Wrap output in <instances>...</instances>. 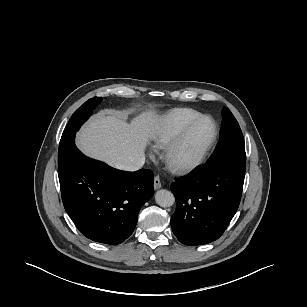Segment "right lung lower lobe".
<instances>
[{"mask_svg": "<svg viewBox=\"0 0 307 307\" xmlns=\"http://www.w3.org/2000/svg\"><path fill=\"white\" fill-rule=\"evenodd\" d=\"M65 210L87 238L116 245L134 231L140 208L153 195L151 170L123 172L82 154L76 145L58 161Z\"/></svg>", "mask_w": 307, "mask_h": 307, "instance_id": "obj_1", "label": "right lung lower lobe"}]
</instances>
